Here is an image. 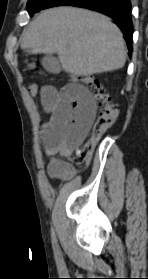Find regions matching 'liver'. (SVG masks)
I'll return each instance as SVG.
<instances>
[{
    "label": "liver",
    "instance_id": "1",
    "mask_svg": "<svg viewBox=\"0 0 148 279\" xmlns=\"http://www.w3.org/2000/svg\"><path fill=\"white\" fill-rule=\"evenodd\" d=\"M21 48L57 53L63 70L75 76L121 69L126 61L119 28L102 14L74 7L43 11L23 34Z\"/></svg>",
    "mask_w": 148,
    "mask_h": 279
}]
</instances>
